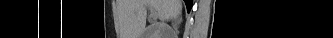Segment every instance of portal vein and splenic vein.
Returning a JSON list of instances; mask_svg holds the SVG:
<instances>
[{
	"label": "portal vein and splenic vein",
	"mask_w": 333,
	"mask_h": 38,
	"mask_svg": "<svg viewBox=\"0 0 333 38\" xmlns=\"http://www.w3.org/2000/svg\"><path fill=\"white\" fill-rule=\"evenodd\" d=\"M150 10H151V17H152L154 20L157 19V17H158L157 12H156L155 10H153L152 8H151Z\"/></svg>",
	"instance_id": "18ae733b"
}]
</instances>
